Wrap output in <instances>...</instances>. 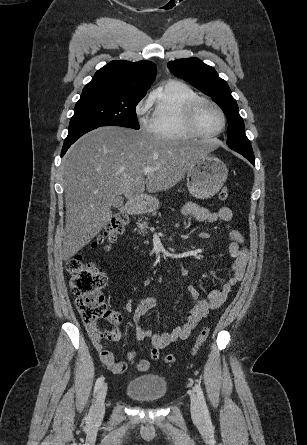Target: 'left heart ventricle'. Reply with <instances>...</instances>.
Masks as SVG:
<instances>
[{
  "mask_svg": "<svg viewBox=\"0 0 307 445\" xmlns=\"http://www.w3.org/2000/svg\"><path fill=\"white\" fill-rule=\"evenodd\" d=\"M199 122L207 133H217L224 127L221 112L212 105L203 104L199 110Z\"/></svg>",
  "mask_w": 307,
  "mask_h": 445,
  "instance_id": "obj_1",
  "label": "left heart ventricle"
}]
</instances>
